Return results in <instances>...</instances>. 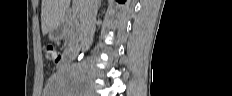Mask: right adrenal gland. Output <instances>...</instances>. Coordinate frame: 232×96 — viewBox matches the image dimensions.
Segmentation results:
<instances>
[{
	"label": "right adrenal gland",
	"mask_w": 232,
	"mask_h": 96,
	"mask_svg": "<svg viewBox=\"0 0 232 96\" xmlns=\"http://www.w3.org/2000/svg\"><path fill=\"white\" fill-rule=\"evenodd\" d=\"M101 6V0L99 1V7Z\"/></svg>",
	"instance_id": "2a0ac1e0"
}]
</instances>
